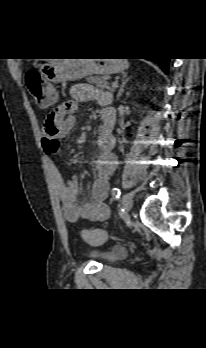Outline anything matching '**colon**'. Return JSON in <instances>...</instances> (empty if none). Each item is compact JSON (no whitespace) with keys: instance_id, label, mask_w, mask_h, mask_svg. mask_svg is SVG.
<instances>
[{"instance_id":"colon-1","label":"colon","mask_w":206,"mask_h":348,"mask_svg":"<svg viewBox=\"0 0 206 348\" xmlns=\"http://www.w3.org/2000/svg\"><path fill=\"white\" fill-rule=\"evenodd\" d=\"M25 83L33 99L39 102L44 89L47 88L40 72L37 70H29L25 74ZM82 237L90 244H100L106 240L107 234L101 230L86 229L82 231Z\"/></svg>"}]
</instances>
